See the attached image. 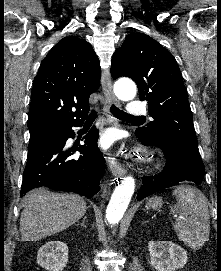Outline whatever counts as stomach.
I'll return each instance as SVG.
<instances>
[{
	"instance_id": "obj_1",
	"label": "stomach",
	"mask_w": 221,
	"mask_h": 271,
	"mask_svg": "<svg viewBox=\"0 0 221 271\" xmlns=\"http://www.w3.org/2000/svg\"><path fill=\"white\" fill-rule=\"evenodd\" d=\"M164 201L162 197H158V195H154V197H150L146 207H150V209H158L163 205Z\"/></svg>"
}]
</instances>
